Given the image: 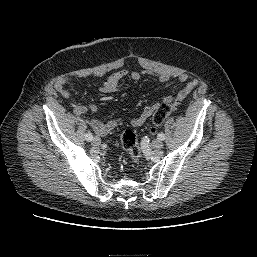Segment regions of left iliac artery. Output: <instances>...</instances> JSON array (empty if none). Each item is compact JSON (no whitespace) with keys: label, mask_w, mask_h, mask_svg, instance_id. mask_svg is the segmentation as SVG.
Here are the masks:
<instances>
[{"label":"left iliac artery","mask_w":257,"mask_h":257,"mask_svg":"<svg viewBox=\"0 0 257 257\" xmlns=\"http://www.w3.org/2000/svg\"><path fill=\"white\" fill-rule=\"evenodd\" d=\"M157 137H158L159 140H164L165 139V134L164 133H159Z\"/></svg>","instance_id":"1"}]
</instances>
